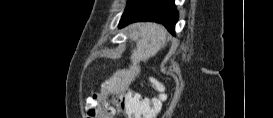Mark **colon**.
Instances as JSON below:
<instances>
[{
  "instance_id": "1",
  "label": "colon",
  "mask_w": 273,
  "mask_h": 118,
  "mask_svg": "<svg viewBox=\"0 0 273 118\" xmlns=\"http://www.w3.org/2000/svg\"><path fill=\"white\" fill-rule=\"evenodd\" d=\"M92 103L87 112V118H114L121 112L128 118H153L165 100L164 96L146 97L134 91L117 94L110 99H101L94 93Z\"/></svg>"
}]
</instances>
